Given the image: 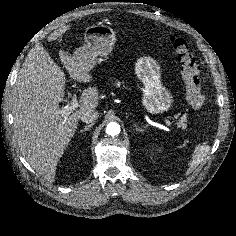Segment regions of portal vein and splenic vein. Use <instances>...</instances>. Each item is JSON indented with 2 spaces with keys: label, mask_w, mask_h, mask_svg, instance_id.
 <instances>
[{
  "label": "portal vein and splenic vein",
  "mask_w": 236,
  "mask_h": 236,
  "mask_svg": "<svg viewBox=\"0 0 236 236\" xmlns=\"http://www.w3.org/2000/svg\"><path fill=\"white\" fill-rule=\"evenodd\" d=\"M76 108H78V102L76 99V95L74 94L70 103V106H65L62 108L61 113L64 115H69L71 114L74 110H76ZM164 122L167 126L171 127L172 126V122L166 118H164ZM180 125H185L182 121L179 123Z\"/></svg>",
  "instance_id": "1"
}]
</instances>
